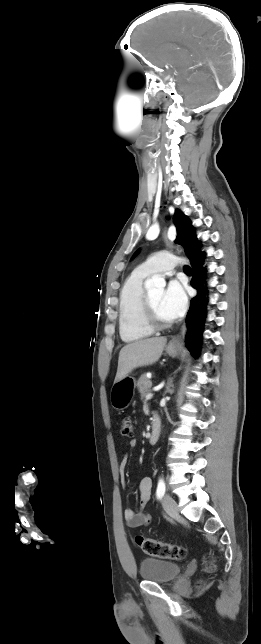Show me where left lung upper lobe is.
I'll return each mask as SVG.
<instances>
[{"mask_svg": "<svg viewBox=\"0 0 261 644\" xmlns=\"http://www.w3.org/2000/svg\"><path fill=\"white\" fill-rule=\"evenodd\" d=\"M174 224L177 229V239L175 243L184 247L186 255L191 260L203 259L204 252H201V242L197 239L194 227L191 221L180 210L174 214Z\"/></svg>", "mask_w": 261, "mask_h": 644, "instance_id": "obj_1", "label": "left lung upper lobe"}]
</instances>
